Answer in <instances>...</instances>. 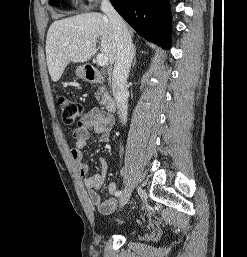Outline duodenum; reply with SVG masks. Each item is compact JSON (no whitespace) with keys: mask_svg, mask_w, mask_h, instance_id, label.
Instances as JSON below:
<instances>
[{"mask_svg":"<svg viewBox=\"0 0 247 257\" xmlns=\"http://www.w3.org/2000/svg\"><path fill=\"white\" fill-rule=\"evenodd\" d=\"M84 77L88 82L98 83L106 79V76L98 71L95 67L87 65L84 69ZM104 108L107 112H114L116 109L115 99L107 95L103 101Z\"/></svg>","mask_w":247,"mask_h":257,"instance_id":"duodenum-1","label":"duodenum"}]
</instances>
